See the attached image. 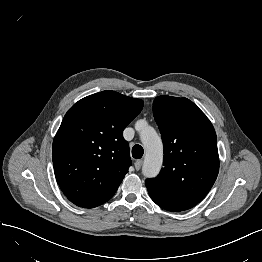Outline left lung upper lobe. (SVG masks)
<instances>
[{
    "instance_id": "5c2ea615",
    "label": "left lung upper lobe",
    "mask_w": 262,
    "mask_h": 262,
    "mask_svg": "<svg viewBox=\"0 0 262 262\" xmlns=\"http://www.w3.org/2000/svg\"><path fill=\"white\" fill-rule=\"evenodd\" d=\"M153 113L164 144V168L145 181L148 193L168 211L190 209L207 195L219 172L214 127L187 98L158 96Z\"/></svg>"
}]
</instances>
